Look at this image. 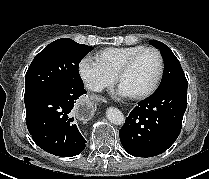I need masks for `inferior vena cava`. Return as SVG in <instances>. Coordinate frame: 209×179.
I'll return each instance as SVG.
<instances>
[{
    "instance_id": "1",
    "label": "inferior vena cava",
    "mask_w": 209,
    "mask_h": 179,
    "mask_svg": "<svg viewBox=\"0 0 209 179\" xmlns=\"http://www.w3.org/2000/svg\"><path fill=\"white\" fill-rule=\"evenodd\" d=\"M86 87L88 89H91V90H94V91H101V89H102L99 85H95V84H92V83L87 84Z\"/></svg>"
}]
</instances>
